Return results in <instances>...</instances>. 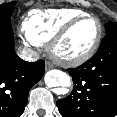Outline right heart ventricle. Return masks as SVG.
<instances>
[{
  "instance_id": "obj_1",
  "label": "right heart ventricle",
  "mask_w": 117,
  "mask_h": 117,
  "mask_svg": "<svg viewBox=\"0 0 117 117\" xmlns=\"http://www.w3.org/2000/svg\"><path fill=\"white\" fill-rule=\"evenodd\" d=\"M81 15L86 13L75 8L35 10L24 22L25 35L35 45L44 44L70 20Z\"/></svg>"
}]
</instances>
